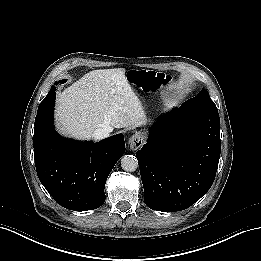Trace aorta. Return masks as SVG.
Segmentation results:
<instances>
[{
  "instance_id": "1",
  "label": "aorta",
  "mask_w": 261,
  "mask_h": 261,
  "mask_svg": "<svg viewBox=\"0 0 261 261\" xmlns=\"http://www.w3.org/2000/svg\"><path fill=\"white\" fill-rule=\"evenodd\" d=\"M121 167L126 172H134L138 168V160L133 155H124L121 158Z\"/></svg>"
}]
</instances>
